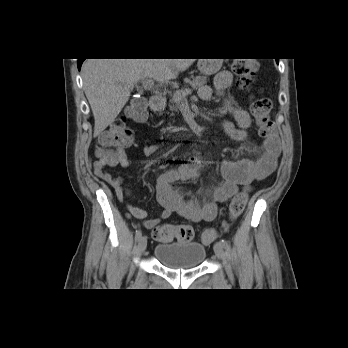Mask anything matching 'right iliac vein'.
<instances>
[{"label":"right iliac vein","instance_id":"right-iliac-vein-1","mask_svg":"<svg viewBox=\"0 0 348 348\" xmlns=\"http://www.w3.org/2000/svg\"><path fill=\"white\" fill-rule=\"evenodd\" d=\"M147 247V238L145 236H141L138 240V251L140 254H143Z\"/></svg>","mask_w":348,"mask_h":348}]
</instances>
